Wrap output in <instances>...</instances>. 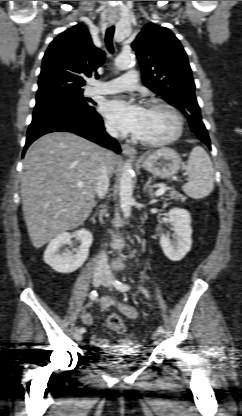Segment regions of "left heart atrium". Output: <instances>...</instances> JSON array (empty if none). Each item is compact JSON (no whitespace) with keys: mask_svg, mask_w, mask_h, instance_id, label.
Masks as SVG:
<instances>
[{"mask_svg":"<svg viewBox=\"0 0 242 416\" xmlns=\"http://www.w3.org/2000/svg\"><path fill=\"white\" fill-rule=\"evenodd\" d=\"M101 111L113 125L123 133L136 134L143 119L145 109L123 98L105 101Z\"/></svg>","mask_w":242,"mask_h":416,"instance_id":"obj_1","label":"left heart atrium"}]
</instances>
